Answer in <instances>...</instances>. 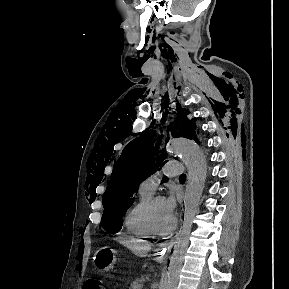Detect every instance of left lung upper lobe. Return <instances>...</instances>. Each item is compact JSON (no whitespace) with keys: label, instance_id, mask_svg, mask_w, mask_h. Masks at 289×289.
<instances>
[{"label":"left lung upper lobe","instance_id":"obj_1","mask_svg":"<svg viewBox=\"0 0 289 289\" xmlns=\"http://www.w3.org/2000/svg\"><path fill=\"white\" fill-rule=\"evenodd\" d=\"M174 137H187L199 143L194 120L181 114V122L171 127ZM162 135L156 140L153 133H146L131 141L124 148L103 195L104 212L100 226L106 234L117 233L122 228V217L133 204V195L139 183L155 173L165 163L167 154L160 149Z\"/></svg>","mask_w":289,"mask_h":289}]
</instances>
